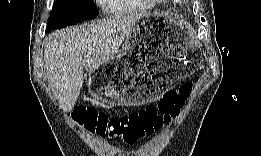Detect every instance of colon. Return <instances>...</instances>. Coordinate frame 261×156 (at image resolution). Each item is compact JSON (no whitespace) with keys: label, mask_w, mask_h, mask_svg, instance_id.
<instances>
[{"label":"colon","mask_w":261,"mask_h":156,"mask_svg":"<svg viewBox=\"0 0 261 156\" xmlns=\"http://www.w3.org/2000/svg\"><path fill=\"white\" fill-rule=\"evenodd\" d=\"M191 91L192 83L187 82L179 89L167 92L159 103L126 115L109 117L92 107H82L73 117L103 139L117 138L134 144L176 118Z\"/></svg>","instance_id":"5ec220e1"}]
</instances>
